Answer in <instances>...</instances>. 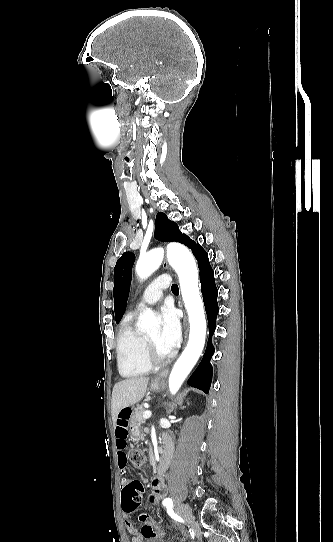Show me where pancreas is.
Instances as JSON below:
<instances>
[{"instance_id": "pancreas-1", "label": "pancreas", "mask_w": 333, "mask_h": 542, "mask_svg": "<svg viewBox=\"0 0 333 542\" xmlns=\"http://www.w3.org/2000/svg\"><path fill=\"white\" fill-rule=\"evenodd\" d=\"M143 412H147L145 410L144 406H137L134 410V416H132L134 422H137V424H145V418H143Z\"/></svg>"}]
</instances>
